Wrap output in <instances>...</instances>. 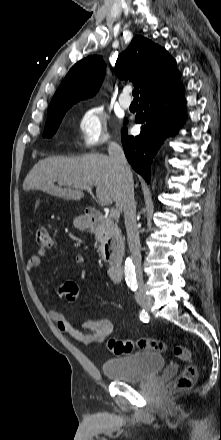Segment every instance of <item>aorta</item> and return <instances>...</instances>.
<instances>
[{
  "label": "aorta",
  "instance_id": "762f6f07",
  "mask_svg": "<svg viewBox=\"0 0 221 440\" xmlns=\"http://www.w3.org/2000/svg\"><path fill=\"white\" fill-rule=\"evenodd\" d=\"M124 273L127 284L134 286L136 283L135 267L129 258L125 262Z\"/></svg>",
  "mask_w": 221,
  "mask_h": 440
}]
</instances>
